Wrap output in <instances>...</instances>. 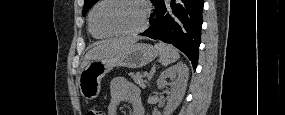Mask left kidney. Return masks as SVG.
Instances as JSON below:
<instances>
[{
  "instance_id": "obj_1",
  "label": "left kidney",
  "mask_w": 285,
  "mask_h": 115,
  "mask_svg": "<svg viewBox=\"0 0 285 115\" xmlns=\"http://www.w3.org/2000/svg\"><path fill=\"white\" fill-rule=\"evenodd\" d=\"M176 81L172 83L171 86V94L170 97L167 100V105L164 109V115H171V113L179 106L181 103L186 87H187V82H188V77H189V69L184 63H177L176 65L166 69L163 71L158 80H157V85L159 89H162L166 87L167 82L166 79H174L176 78ZM153 115H156L155 113Z\"/></svg>"
}]
</instances>
